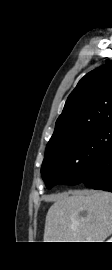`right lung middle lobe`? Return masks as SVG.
<instances>
[{
  "label": "right lung middle lobe",
  "mask_w": 112,
  "mask_h": 270,
  "mask_svg": "<svg viewBox=\"0 0 112 270\" xmlns=\"http://www.w3.org/2000/svg\"><path fill=\"white\" fill-rule=\"evenodd\" d=\"M112 145V123L46 149L41 174L48 189L81 183L97 158Z\"/></svg>",
  "instance_id": "dd1d6c3e"
}]
</instances>
